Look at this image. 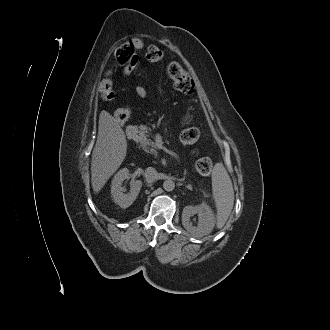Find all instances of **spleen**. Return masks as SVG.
I'll list each match as a JSON object with an SVG mask.
<instances>
[{
    "label": "spleen",
    "instance_id": "1",
    "mask_svg": "<svg viewBox=\"0 0 330 330\" xmlns=\"http://www.w3.org/2000/svg\"><path fill=\"white\" fill-rule=\"evenodd\" d=\"M212 190L216 205V227L221 229L227 222L234 204L232 181L222 163H216L212 171Z\"/></svg>",
    "mask_w": 330,
    "mask_h": 330
}]
</instances>
